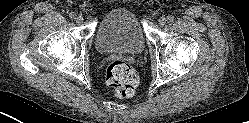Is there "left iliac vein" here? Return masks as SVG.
Instances as JSON below:
<instances>
[{
	"mask_svg": "<svg viewBox=\"0 0 249 123\" xmlns=\"http://www.w3.org/2000/svg\"><path fill=\"white\" fill-rule=\"evenodd\" d=\"M158 22H159V26L163 27L166 24L167 20L165 17L162 16L160 17Z\"/></svg>",
	"mask_w": 249,
	"mask_h": 123,
	"instance_id": "1",
	"label": "left iliac vein"
}]
</instances>
